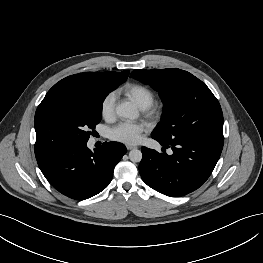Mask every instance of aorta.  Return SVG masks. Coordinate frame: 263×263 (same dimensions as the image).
<instances>
[{
  "label": "aorta",
  "instance_id": "1",
  "mask_svg": "<svg viewBox=\"0 0 263 263\" xmlns=\"http://www.w3.org/2000/svg\"><path fill=\"white\" fill-rule=\"evenodd\" d=\"M116 114L122 118L136 119L138 111L135 105L131 102H123L116 107ZM129 159L132 162H140L142 159V152L138 149H133L129 152Z\"/></svg>",
  "mask_w": 263,
  "mask_h": 263
}]
</instances>
